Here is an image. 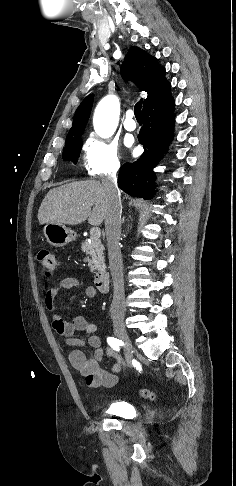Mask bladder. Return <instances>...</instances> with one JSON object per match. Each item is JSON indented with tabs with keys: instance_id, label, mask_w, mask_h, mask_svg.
<instances>
[{
	"instance_id": "1",
	"label": "bladder",
	"mask_w": 236,
	"mask_h": 486,
	"mask_svg": "<svg viewBox=\"0 0 236 486\" xmlns=\"http://www.w3.org/2000/svg\"><path fill=\"white\" fill-rule=\"evenodd\" d=\"M106 412L108 414L124 418V419H130L133 418L136 414V407L129 402L126 401H117L111 403L107 409Z\"/></svg>"
}]
</instances>
